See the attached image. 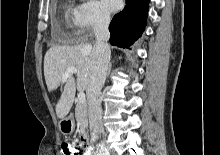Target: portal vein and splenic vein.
Listing matches in <instances>:
<instances>
[{
    "instance_id": "18ae733b",
    "label": "portal vein and splenic vein",
    "mask_w": 220,
    "mask_h": 155,
    "mask_svg": "<svg viewBox=\"0 0 220 155\" xmlns=\"http://www.w3.org/2000/svg\"><path fill=\"white\" fill-rule=\"evenodd\" d=\"M77 72H78V70L75 67L68 68L65 71L64 75L62 76V82H65L69 78L70 75L77 74ZM78 100H79L80 103H85L86 102V97H85V94L83 92L78 93Z\"/></svg>"
}]
</instances>
